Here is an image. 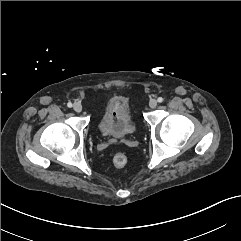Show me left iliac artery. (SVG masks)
<instances>
[{"mask_svg":"<svg viewBox=\"0 0 241 241\" xmlns=\"http://www.w3.org/2000/svg\"><path fill=\"white\" fill-rule=\"evenodd\" d=\"M157 101H158L159 103H161V102H163V98H162V97H159V98L157 99Z\"/></svg>","mask_w":241,"mask_h":241,"instance_id":"1","label":"left iliac artery"}]
</instances>
